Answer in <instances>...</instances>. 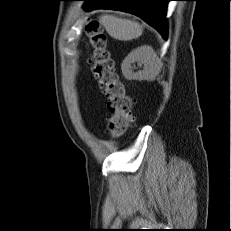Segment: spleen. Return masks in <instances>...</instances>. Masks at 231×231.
<instances>
[{
  "mask_svg": "<svg viewBox=\"0 0 231 231\" xmlns=\"http://www.w3.org/2000/svg\"><path fill=\"white\" fill-rule=\"evenodd\" d=\"M99 20L107 33L117 40L136 39L143 32V28L138 22L129 19H122L113 15H102Z\"/></svg>",
  "mask_w": 231,
  "mask_h": 231,
  "instance_id": "1",
  "label": "spleen"
}]
</instances>
